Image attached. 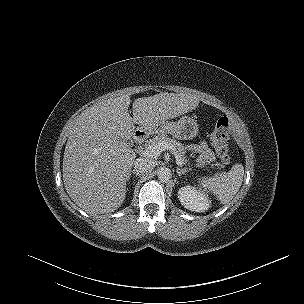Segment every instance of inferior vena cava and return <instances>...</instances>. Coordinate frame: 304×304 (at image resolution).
<instances>
[{"instance_id":"602c4592","label":"inferior vena cava","mask_w":304,"mask_h":304,"mask_svg":"<svg viewBox=\"0 0 304 304\" xmlns=\"http://www.w3.org/2000/svg\"><path fill=\"white\" fill-rule=\"evenodd\" d=\"M134 170L138 173H146L155 167V163L152 159L146 157H140L133 161Z\"/></svg>"}]
</instances>
